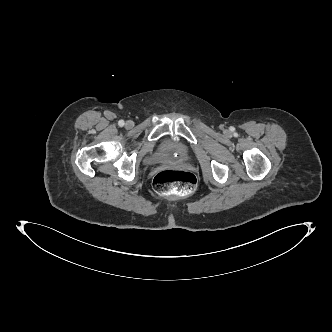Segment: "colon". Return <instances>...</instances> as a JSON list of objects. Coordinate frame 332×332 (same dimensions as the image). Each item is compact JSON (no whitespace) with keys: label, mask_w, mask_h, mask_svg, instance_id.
Masks as SVG:
<instances>
[{"label":"colon","mask_w":332,"mask_h":332,"mask_svg":"<svg viewBox=\"0 0 332 332\" xmlns=\"http://www.w3.org/2000/svg\"><path fill=\"white\" fill-rule=\"evenodd\" d=\"M153 185L161 194H187L194 191L196 177L188 171L167 169L155 175Z\"/></svg>","instance_id":"colon-1"}]
</instances>
